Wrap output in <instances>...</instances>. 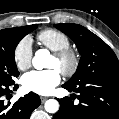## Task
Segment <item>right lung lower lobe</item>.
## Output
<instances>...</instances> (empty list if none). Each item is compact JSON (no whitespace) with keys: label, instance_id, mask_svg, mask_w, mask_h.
<instances>
[{"label":"right lung lower lobe","instance_id":"1","mask_svg":"<svg viewBox=\"0 0 119 119\" xmlns=\"http://www.w3.org/2000/svg\"><path fill=\"white\" fill-rule=\"evenodd\" d=\"M18 85L15 82L11 84L0 83V119H29L32 111L36 109L41 100L39 96L33 92L20 97L13 105L4 103L3 98L8 97Z\"/></svg>","mask_w":119,"mask_h":119}]
</instances>
